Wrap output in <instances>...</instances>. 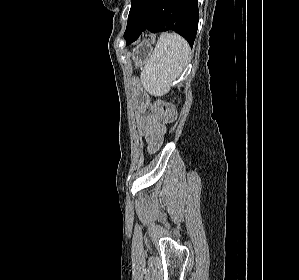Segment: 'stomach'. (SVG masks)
Returning a JSON list of instances; mask_svg holds the SVG:
<instances>
[{
	"mask_svg": "<svg viewBox=\"0 0 299 280\" xmlns=\"http://www.w3.org/2000/svg\"><path fill=\"white\" fill-rule=\"evenodd\" d=\"M152 55V46L148 41L141 42L133 51L132 58L135 66L142 67Z\"/></svg>",
	"mask_w": 299,
	"mask_h": 280,
	"instance_id": "stomach-1",
	"label": "stomach"
}]
</instances>
